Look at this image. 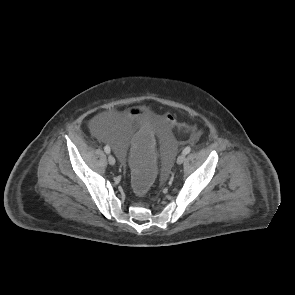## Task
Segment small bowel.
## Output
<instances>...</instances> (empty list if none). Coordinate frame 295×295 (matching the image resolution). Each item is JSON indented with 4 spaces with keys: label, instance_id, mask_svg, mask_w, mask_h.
<instances>
[{
    "label": "small bowel",
    "instance_id": "1",
    "mask_svg": "<svg viewBox=\"0 0 295 295\" xmlns=\"http://www.w3.org/2000/svg\"><path fill=\"white\" fill-rule=\"evenodd\" d=\"M129 112H151L148 109H142V110H131ZM170 126H174L176 124V121H166Z\"/></svg>",
    "mask_w": 295,
    "mask_h": 295
}]
</instances>
